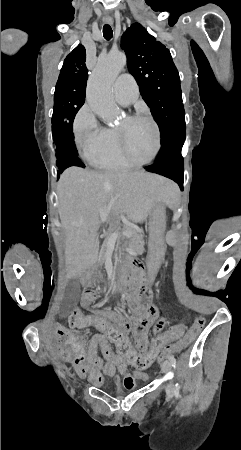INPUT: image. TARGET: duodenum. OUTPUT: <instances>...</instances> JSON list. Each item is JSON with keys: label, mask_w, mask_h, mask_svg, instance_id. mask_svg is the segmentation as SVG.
<instances>
[{"label": "duodenum", "mask_w": 241, "mask_h": 450, "mask_svg": "<svg viewBox=\"0 0 241 450\" xmlns=\"http://www.w3.org/2000/svg\"><path fill=\"white\" fill-rule=\"evenodd\" d=\"M98 271L91 269L83 276V283L93 284L97 278ZM116 287L118 290L131 292H145L147 288L143 265L135 258H130L119 264L117 267Z\"/></svg>", "instance_id": "obj_1"}]
</instances>
